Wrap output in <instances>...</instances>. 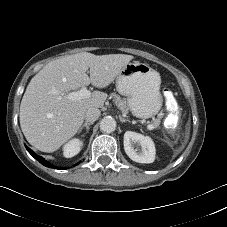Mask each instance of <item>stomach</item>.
Returning <instances> with one entry per match:
<instances>
[{
	"mask_svg": "<svg viewBox=\"0 0 227 227\" xmlns=\"http://www.w3.org/2000/svg\"><path fill=\"white\" fill-rule=\"evenodd\" d=\"M160 74L146 63L126 64L116 77V89L127 97L131 113L142 119L155 116L161 109Z\"/></svg>",
	"mask_w": 227,
	"mask_h": 227,
	"instance_id": "stomach-1",
	"label": "stomach"
}]
</instances>
